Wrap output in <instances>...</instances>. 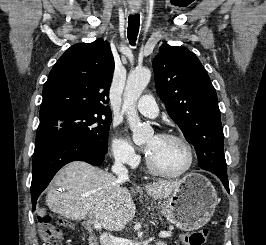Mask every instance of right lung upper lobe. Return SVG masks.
Masks as SVG:
<instances>
[{"mask_svg": "<svg viewBox=\"0 0 266 245\" xmlns=\"http://www.w3.org/2000/svg\"><path fill=\"white\" fill-rule=\"evenodd\" d=\"M114 72L110 45L103 39L71 46L53 66L43 87L40 120L68 110L104 106Z\"/></svg>", "mask_w": 266, "mask_h": 245, "instance_id": "obj_1", "label": "right lung upper lobe"}]
</instances>
